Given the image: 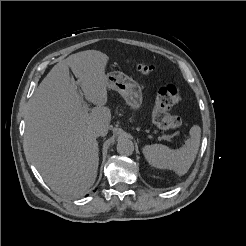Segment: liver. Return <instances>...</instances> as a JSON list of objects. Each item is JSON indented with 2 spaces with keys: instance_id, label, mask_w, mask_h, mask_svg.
<instances>
[{
  "instance_id": "1",
  "label": "liver",
  "mask_w": 246,
  "mask_h": 246,
  "mask_svg": "<svg viewBox=\"0 0 246 246\" xmlns=\"http://www.w3.org/2000/svg\"><path fill=\"white\" fill-rule=\"evenodd\" d=\"M108 60L96 50L70 55L51 69L29 102L25 149L45 182L59 194L82 196L95 182L99 156L92 130L104 127L106 135L111 120L105 106ZM69 68L86 100L96 105L90 112L83 110Z\"/></svg>"
}]
</instances>
